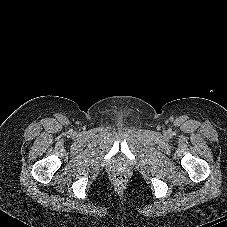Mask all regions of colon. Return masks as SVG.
<instances>
[{"instance_id":"colon-1","label":"colon","mask_w":227,"mask_h":227,"mask_svg":"<svg viewBox=\"0 0 227 227\" xmlns=\"http://www.w3.org/2000/svg\"><path fill=\"white\" fill-rule=\"evenodd\" d=\"M127 181V178L124 174H117L115 176V182L117 185H123Z\"/></svg>"}]
</instances>
